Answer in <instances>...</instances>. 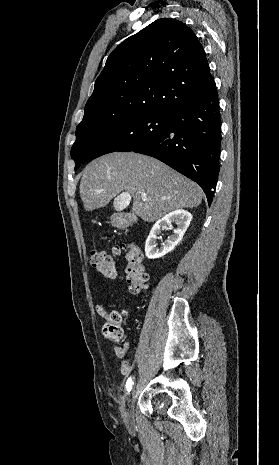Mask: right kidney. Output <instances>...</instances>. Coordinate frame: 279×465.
<instances>
[{"label": "right kidney", "instance_id": "ca27d5eb", "mask_svg": "<svg viewBox=\"0 0 279 465\" xmlns=\"http://www.w3.org/2000/svg\"><path fill=\"white\" fill-rule=\"evenodd\" d=\"M191 220L192 214L183 209L174 210L159 219L153 225L146 240L145 254L147 258L157 259L171 252L182 240ZM172 223H175L177 228H175L173 234L168 237L166 243L163 244L161 248H157L156 240L159 238L161 231L167 227L173 229Z\"/></svg>", "mask_w": 279, "mask_h": 465}]
</instances>
